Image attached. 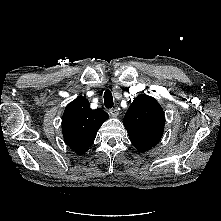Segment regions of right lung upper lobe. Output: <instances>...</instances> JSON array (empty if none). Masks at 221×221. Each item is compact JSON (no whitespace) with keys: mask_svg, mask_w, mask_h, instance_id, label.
<instances>
[{"mask_svg":"<svg viewBox=\"0 0 221 221\" xmlns=\"http://www.w3.org/2000/svg\"><path fill=\"white\" fill-rule=\"evenodd\" d=\"M108 117L102 109L92 110L86 98L77 97L66 106L62 117V132L66 144L77 154H84Z\"/></svg>","mask_w":221,"mask_h":221,"instance_id":"1","label":"right lung upper lobe"}]
</instances>
